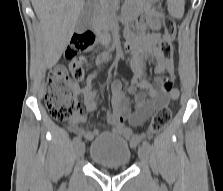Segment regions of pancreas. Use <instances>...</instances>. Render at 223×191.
I'll return each mask as SVG.
<instances>
[{"label": "pancreas", "mask_w": 223, "mask_h": 191, "mask_svg": "<svg viewBox=\"0 0 223 191\" xmlns=\"http://www.w3.org/2000/svg\"><path fill=\"white\" fill-rule=\"evenodd\" d=\"M119 0H97L92 9V24L97 31L107 30Z\"/></svg>", "instance_id": "obj_1"}]
</instances>
